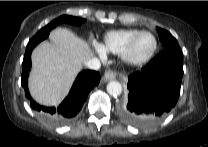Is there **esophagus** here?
I'll use <instances>...</instances> for the list:
<instances>
[{"mask_svg":"<svg viewBox=\"0 0 208 147\" xmlns=\"http://www.w3.org/2000/svg\"><path fill=\"white\" fill-rule=\"evenodd\" d=\"M115 77H116V75H115V73H114L113 71H106V72L104 73L103 80H104L105 82H108V81H110V80L115 79Z\"/></svg>","mask_w":208,"mask_h":147,"instance_id":"1","label":"esophagus"}]
</instances>
